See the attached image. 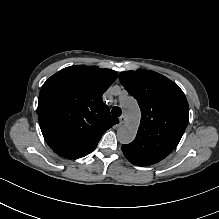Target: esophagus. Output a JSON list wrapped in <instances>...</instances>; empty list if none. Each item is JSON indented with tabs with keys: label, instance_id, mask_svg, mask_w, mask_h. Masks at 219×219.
<instances>
[{
	"label": "esophagus",
	"instance_id": "34e87169",
	"mask_svg": "<svg viewBox=\"0 0 219 219\" xmlns=\"http://www.w3.org/2000/svg\"><path fill=\"white\" fill-rule=\"evenodd\" d=\"M120 124H124L126 122V116L123 114L119 117Z\"/></svg>",
	"mask_w": 219,
	"mask_h": 219
}]
</instances>
